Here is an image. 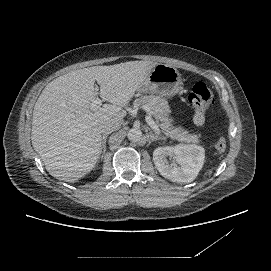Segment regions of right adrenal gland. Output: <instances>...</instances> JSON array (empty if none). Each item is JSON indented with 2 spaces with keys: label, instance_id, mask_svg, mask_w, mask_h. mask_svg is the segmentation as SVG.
Here are the masks:
<instances>
[{
  "label": "right adrenal gland",
  "instance_id": "2a0ac1e0",
  "mask_svg": "<svg viewBox=\"0 0 271 271\" xmlns=\"http://www.w3.org/2000/svg\"><path fill=\"white\" fill-rule=\"evenodd\" d=\"M106 140H107V135H104L101 139V151H100V155H99V157L101 156V158H103V156L105 155V152H106Z\"/></svg>",
  "mask_w": 271,
  "mask_h": 271
}]
</instances>
